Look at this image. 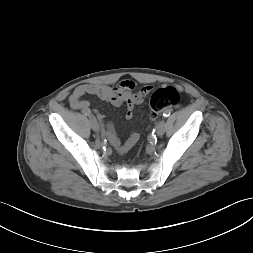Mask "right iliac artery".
I'll use <instances>...</instances> for the list:
<instances>
[{
    "instance_id": "right-iliac-artery-1",
    "label": "right iliac artery",
    "mask_w": 253,
    "mask_h": 253,
    "mask_svg": "<svg viewBox=\"0 0 253 253\" xmlns=\"http://www.w3.org/2000/svg\"><path fill=\"white\" fill-rule=\"evenodd\" d=\"M85 115L90 116V115H91V112L88 111V112L85 113Z\"/></svg>"
}]
</instances>
